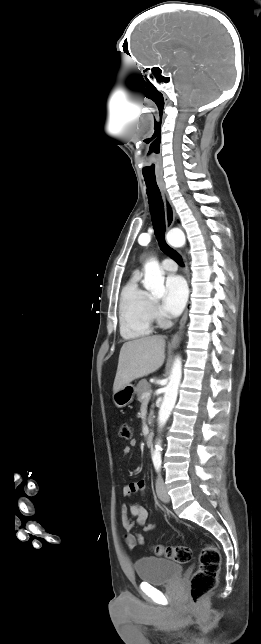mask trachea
<instances>
[{"mask_svg": "<svg viewBox=\"0 0 261 644\" xmlns=\"http://www.w3.org/2000/svg\"><path fill=\"white\" fill-rule=\"evenodd\" d=\"M148 203L157 241L162 251L171 256L179 265L184 266L181 256L165 241V216L163 200L156 180L145 179Z\"/></svg>", "mask_w": 261, "mask_h": 644, "instance_id": "obj_1", "label": "trachea"}]
</instances>
